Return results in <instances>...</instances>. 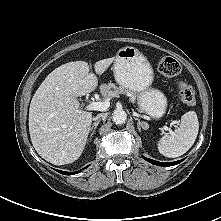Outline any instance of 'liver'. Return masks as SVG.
I'll list each match as a JSON object with an SVG mask.
<instances>
[{
  "label": "liver",
  "mask_w": 221,
  "mask_h": 221,
  "mask_svg": "<svg viewBox=\"0 0 221 221\" xmlns=\"http://www.w3.org/2000/svg\"><path fill=\"white\" fill-rule=\"evenodd\" d=\"M114 58L95 63L103 74ZM97 78L85 61H74L54 69L32 97L29 133L37 153L54 165L70 164L82 154L92 123V113L80 109L77 97L96 89Z\"/></svg>",
  "instance_id": "liver-1"
}]
</instances>
